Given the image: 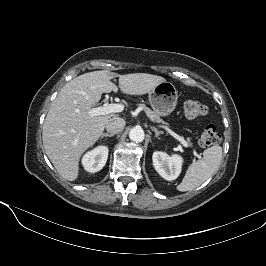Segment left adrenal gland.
Instances as JSON below:
<instances>
[{
    "label": "left adrenal gland",
    "instance_id": "obj_1",
    "mask_svg": "<svg viewBox=\"0 0 266 266\" xmlns=\"http://www.w3.org/2000/svg\"><path fill=\"white\" fill-rule=\"evenodd\" d=\"M151 129H152V131L155 132V136H156V138H158L159 135L163 134L162 131H158L155 127H151Z\"/></svg>",
    "mask_w": 266,
    "mask_h": 266
}]
</instances>
